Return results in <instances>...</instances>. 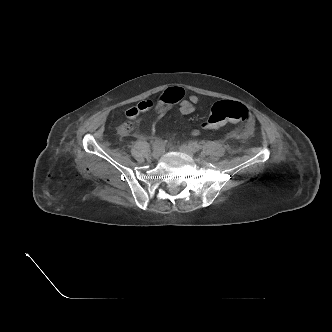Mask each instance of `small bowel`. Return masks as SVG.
Listing matches in <instances>:
<instances>
[{
    "label": "small bowel",
    "instance_id": "obj_1",
    "mask_svg": "<svg viewBox=\"0 0 332 332\" xmlns=\"http://www.w3.org/2000/svg\"><path fill=\"white\" fill-rule=\"evenodd\" d=\"M182 91L183 95L184 92L181 88H178ZM199 103V97L196 94L189 95L188 98L184 99L183 96L179 100V111L182 115H190L192 114L197 107V104ZM170 103H166L163 101H160L156 107L157 111L159 113H165L169 110ZM254 131V125L252 122L248 123L240 132L241 136L246 138L250 136ZM192 133L194 135H199L200 131L198 129H193Z\"/></svg>",
    "mask_w": 332,
    "mask_h": 332
}]
</instances>
